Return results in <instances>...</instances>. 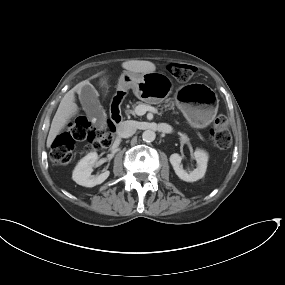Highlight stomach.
I'll list each match as a JSON object with an SVG mask.
<instances>
[{
	"instance_id": "1",
	"label": "stomach",
	"mask_w": 285,
	"mask_h": 285,
	"mask_svg": "<svg viewBox=\"0 0 285 285\" xmlns=\"http://www.w3.org/2000/svg\"><path fill=\"white\" fill-rule=\"evenodd\" d=\"M162 85H169V78L163 73L151 72L137 75L124 71L119 78L118 90L132 89L139 99L153 103L159 100L154 94ZM215 99V93L201 83L182 86L175 95L177 107L194 128H204L211 123L217 113Z\"/></svg>"
}]
</instances>
